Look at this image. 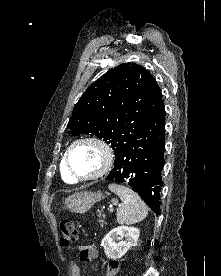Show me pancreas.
Masks as SVG:
<instances>
[{
    "label": "pancreas",
    "mask_w": 221,
    "mask_h": 276,
    "mask_svg": "<svg viewBox=\"0 0 221 276\" xmlns=\"http://www.w3.org/2000/svg\"><path fill=\"white\" fill-rule=\"evenodd\" d=\"M99 216H100V217H101V216H102V217H104V215H103V214H101V213L99 214ZM99 222H100L102 225L105 223V221H104V220H102V219H100V220H99Z\"/></svg>",
    "instance_id": "cf45deb5"
}]
</instances>
